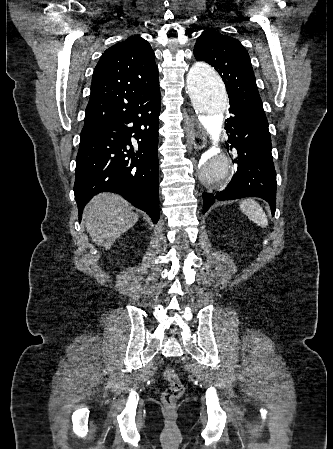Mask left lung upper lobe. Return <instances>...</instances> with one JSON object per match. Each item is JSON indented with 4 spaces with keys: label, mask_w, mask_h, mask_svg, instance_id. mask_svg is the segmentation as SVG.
I'll return each mask as SVG.
<instances>
[{
    "label": "left lung upper lobe",
    "mask_w": 333,
    "mask_h": 449,
    "mask_svg": "<svg viewBox=\"0 0 333 449\" xmlns=\"http://www.w3.org/2000/svg\"><path fill=\"white\" fill-rule=\"evenodd\" d=\"M194 56L198 61L209 63L220 74L229 99L265 114L250 57L237 39L207 29L197 38Z\"/></svg>",
    "instance_id": "5c2ea615"
}]
</instances>
